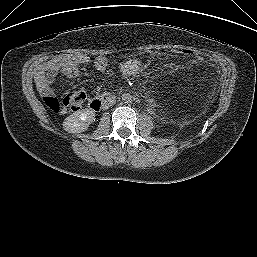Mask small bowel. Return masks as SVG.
I'll return each mask as SVG.
<instances>
[{"mask_svg": "<svg viewBox=\"0 0 257 257\" xmlns=\"http://www.w3.org/2000/svg\"><path fill=\"white\" fill-rule=\"evenodd\" d=\"M90 57L85 54H73L69 56H57L41 64L35 74L37 89L42 97L53 96L51 84L59 76L64 74L74 79L78 76L79 68L90 63ZM98 71L104 72L109 67V61L104 56H98L93 61ZM64 110L61 111L63 113Z\"/></svg>", "mask_w": 257, "mask_h": 257, "instance_id": "obj_1", "label": "small bowel"}]
</instances>
